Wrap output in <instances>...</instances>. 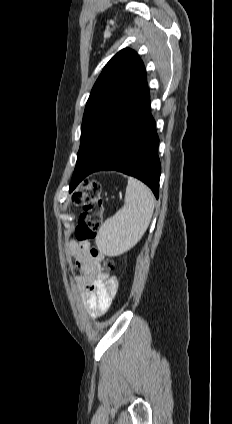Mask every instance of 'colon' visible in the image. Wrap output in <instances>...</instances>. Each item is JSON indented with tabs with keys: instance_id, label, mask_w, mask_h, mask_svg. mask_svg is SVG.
<instances>
[{
	"instance_id": "obj_1",
	"label": "colon",
	"mask_w": 232,
	"mask_h": 424,
	"mask_svg": "<svg viewBox=\"0 0 232 424\" xmlns=\"http://www.w3.org/2000/svg\"><path fill=\"white\" fill-rule=\"evenodd\" d=\"M71 201L75 206L83 209L75 230L76 238L84 243L93 241L101 227L104 214L100 183L94 179L86 180L72 194ZM91 254L97 256L98 250L91 249ZM102 265L108 270H113L114 268V262L111 259H105Z\"/></svg>"
}]
</instances>
